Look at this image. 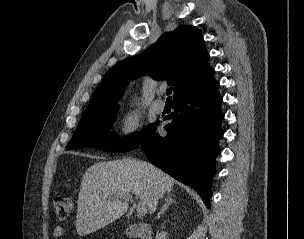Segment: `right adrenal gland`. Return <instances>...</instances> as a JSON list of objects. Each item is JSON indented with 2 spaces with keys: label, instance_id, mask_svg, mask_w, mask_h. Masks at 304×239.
I'll return each instance as SVG.
<instances>
[{
  "label": "right adrenal gland",
  "instance_id": "1",
  "mask_svg": "<svg viewBox=\"0 0 304 239\" xmlns=\"http://www.w3.org/2000/svg\"><path fill=\"white\" fill-rule=\"evenodd\" d=\"M176 203L175 199H172L171 192H168L166 198H165V204L162 206L160 212L157 215V219H160L161 215L164 214V212L168 209L170 204Z\"/></svg>",
  "mask_w": 304,
  "mask_h": 239
}]
</instances>
